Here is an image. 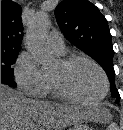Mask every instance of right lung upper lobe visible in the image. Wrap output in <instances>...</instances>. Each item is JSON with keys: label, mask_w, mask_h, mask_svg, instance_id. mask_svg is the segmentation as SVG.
<instances>
[{"label": "right lung upper lobe", "mask_w": 123, "mask_h": 130, "mask_svg": "<svg viewBox=\"0 0 123 130\" xmlns=\"http://www.w3.org/2000/svg\"><path fill=\"white\" fill-rule=\"evenodd\" d=\"M22 8L12 0L1 1V50H20L23 25L20 14Z\"/></svg>", "instance_id": "1"}]
</instances>
